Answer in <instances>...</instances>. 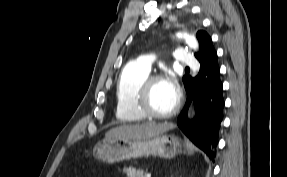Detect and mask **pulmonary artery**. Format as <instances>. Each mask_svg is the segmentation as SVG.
Masks as SVG:
<instances>
[{"label": "pulmonary artery", "mask_w": 287, "mask_h": 177, "mask_svg": "<svg viewBox=\"0 0 287 177\" xmlns=\"http://www.w3.org/2000/svg\"><path fill=\"white\" fill-rule=\"evenodd\" d=\"M136 63L150 71L152 58H150L149 55H142L136 59ZM176 63L185 67H192L198 64L196 58L184 48L176 49Z\"/></svg>", "instance_id": "obj_1"}]
</instances>
